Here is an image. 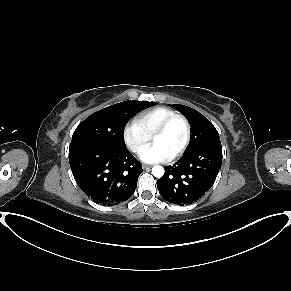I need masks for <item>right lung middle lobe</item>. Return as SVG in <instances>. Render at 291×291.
<instances>
[{"instance_id":"obj_1","label":"right lung middle lobe","mask_w":291,"mask_h":291,"mask_svg":"<svg viewBox=\"0 0 291 291\" xmlns=\"http://www.w3.org/2000/svg\"><path fill=\"white\" fill-rule=\"evenodd\" d=\"M156 104L147 101H124L93 113L76 128L69 149L87 145L126 148L123 136L129 119L135 113Z\"/></svg>"}]
</instances>
